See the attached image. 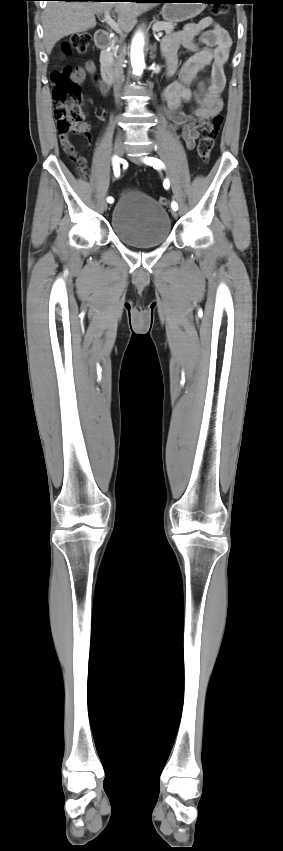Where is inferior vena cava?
Here are the masks:
<instances>
[{
  "label": "inferior vena cava",
  "instance_id": "1",
  "mask_svg": "<svg viewBox=\"0 0 283 851\" xmlns=\"http://www.w3.org/2000/svg\"><path fill=\"white\" fill-rule=\"evenodd\" d=\"M124 80L122 63L117 62L113 68V84L116 103H119V92Z\"/></svg>",
  "mask_w": 283,
  "mask_h": 851
}]
</instances>
